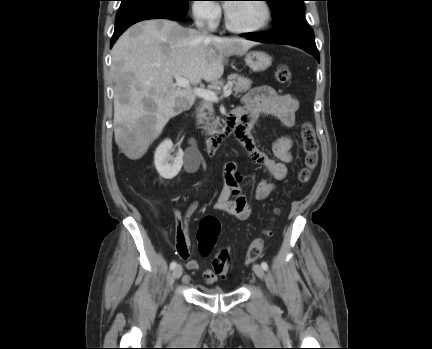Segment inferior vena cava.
I'll use <instances>...</instances> for the list:
<instances>
[{"label": "inferior vena cava", "instance_id": "obj_1", "mask_svg": "<svg viewBox=\"0 0 432 349\" xmlns=\"http://www.w3.org/2000/svg\"><path fill=\"white\" fill-rule=\"evenodd\" d=\"M196 26L201 29L203 27V23L200 20H196ZM205 33V32H204Z\"/></svg>", "mask_w": 432, "mask_h": 349}]
</instances>
